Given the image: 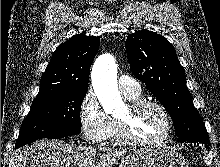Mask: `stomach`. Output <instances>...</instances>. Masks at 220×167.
I'll list each match as a JSON object with an SVG mask.
<instances>
[{
  "label": "stomach",
  "instance_id": "1",
  "mask_svg": "<svg viewBox=\"0 0 220 167\" xmlns=\"http://www.w3.org/2000/svg\"><path fill=\"white\" fill-rule=\"evenodd\" d=\"M119 167H189V164L182 154L168 147H159L130 152Z\"/></svg>",
  "mask_w": 220,
  "mask_h": 167
}]
</instances>
